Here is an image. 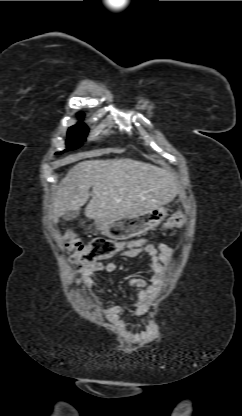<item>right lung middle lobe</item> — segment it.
<instances>
[{
	"instance_id": "dd1d6c3e",
	"label": "right lung middle lobe",
	"mask_w": 242,
	"mask_h": 416,
	"mask_svg": "<svg viewBox=\"0 0 242 416\" xmlns=\"http://www.w3.org/2000/svg\"><path fill=\"white\" fill-rule=\"evenodd\" d=\"M83 114H80V118H82ZM88 128L84 123H78L68 130V139L66 141L67 149L64 151H68L74 148L79 147L82 145V142L85 141V137L87 136ZM62 153V152H59ZM57 153V154H59Z\"/></svg>"
}]
</instances>
